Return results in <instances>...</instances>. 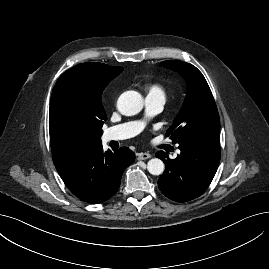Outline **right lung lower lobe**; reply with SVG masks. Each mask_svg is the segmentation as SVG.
<instances>
[{"mask_svg": "<svg viewBox=\"0 0 269 269\" xmlns=\"http://www.w3.org/2000/svg\"><path fill=\"white\" fill-rule=\"evenodd\" d=\"M135 160L127 147L103 151L102 144L55 164L69 190L83 201L98 204L112 197L126 167Z\"/></svg>", "mask_w": 269, "mask_h": 269, "instance_id": "1", "label": "right lung lower lobe"}]
</instances>
